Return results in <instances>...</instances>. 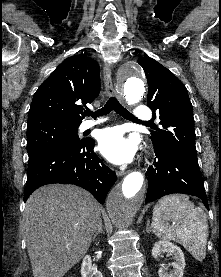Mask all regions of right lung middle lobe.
<instances>
[{"label": "right lung middle lobe", "instance_id": "obj_1", "mask_svg": "<svg viewBox=\"0 0 221 277\" xmlns=\"http://www.w3.org/2000/svg\"><path fill=\"white\" fill-rule=\"evenodd\" d=\"M78 126L60 122L32 124L27 127V152L29 158L48 150H53L81 142Z\"/></svg>", "mask_w": 221, "mask_h": 277}]
</instances>
